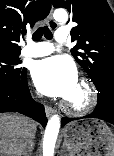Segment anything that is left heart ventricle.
<instances>
[{
    "mask_svg": "<svg viewBox=\"0 0 114 156\" xmlns=\"http://www.w3.org/2000/svg\"><path fill=\"white\" fill-rule=\"evenodd\" d=\"M67 99L76 105L83 103L85 100L84 90L77 84L75 89Z\"/></svg>",
    "mask_w": 114,
    "mask_h": 156,
    "instance_id": "obj_1",
    "label": "left heart ventricle"
}]
</instances>
